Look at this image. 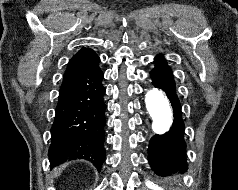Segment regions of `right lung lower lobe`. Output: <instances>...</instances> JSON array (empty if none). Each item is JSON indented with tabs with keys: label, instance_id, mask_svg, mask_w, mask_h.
Listing matches in <instances>:
<instances>
[{
	"label": "right lung lower lobe",
	"instance_id": "98d812e1",
	"mask_svg": "<svg viewBox=\"0 0 238 190\" xmlns=\"http://www.w3.org/2000/svg\"><path fill=\"white\" fill-rule=\"evenodd\" d=\"M99 61L98 58L81 71L63 78L51 128L48 152L51 167L83 158L100 170L105 161L106 105L103 101L104 74Z\"/></svg>",
	"mask_w": 238,
	"mask_h": 190
}]
</instances>
